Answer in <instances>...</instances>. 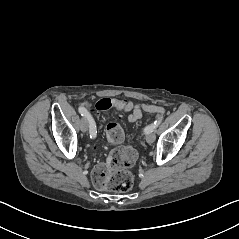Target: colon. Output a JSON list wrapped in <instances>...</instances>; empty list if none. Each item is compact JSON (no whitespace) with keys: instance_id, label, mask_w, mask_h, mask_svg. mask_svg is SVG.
I'll return each instance as SVG.
<instances>
[{"instance_id":"colon-1","label":"colon","mask_w":239,"mask_h":239,"mask_svg":"<svg viewBox=\"0 0 239 239\" xmlns=\"http://www.w3.org/2000/svg\"><path fill=\"white\" fill-rule=\"evenodd\" d=\"M113 107L115 103L110 98L100 99L95 105L96 111H105ZM142 109L149 114H162L165 111L161 106L150 104L142 105ZM106 137L111 144H119L124 139V131L118 123L111 122L106 126ZM135 159L136 153L130 147L114 150L106 163L99 164L93 170L95 186L119 193L129 191L134 183L130 168Z\"/></svg>"}]
</instances>
